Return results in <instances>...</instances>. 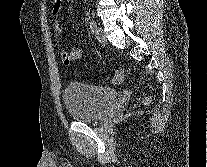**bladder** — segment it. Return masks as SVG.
Listing matches in <instances>:
<instances>
[{"label":"bladder","mask_w":207,"mask_h":167,"mask_svg":"<svg viewBox=\"0 0 207 167\" xmlns=\"http://www.w3.org/2000/svg\"><path fill=\"white\" fill-rule=\"evenodd\" d=\"M117 92L81 82H70L63 91V100L69 117L77 122L100 119L115 101Z\"/></svg>","instance_id":"bladder-1"}]
</instances>
